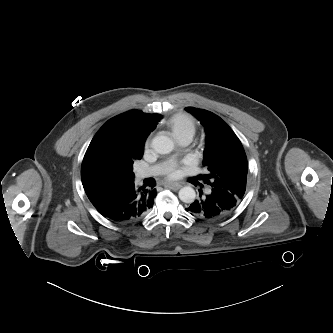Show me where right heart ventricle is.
Wrapping results in <instances>:
<instances>
[{
    "label": "right heart ventricle",
    "mask_w": 333,
    "mask_h": 333,
    "mask_svg": "<svg viewBox=\"0 0 333 333\" xmlns=\"http://www.w3.org/2000/svg\"><path fill=\"white\" fill-rule=\"evenodd\" d=\"M166 124L171 134L178 140L185 136H193L196 129L194 120L185 113L172 116Z\"/></svg>",
    "instance_id": "1"
}]
</instances>
